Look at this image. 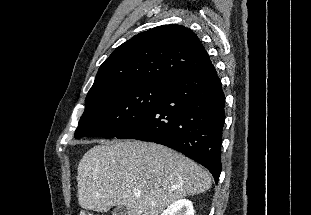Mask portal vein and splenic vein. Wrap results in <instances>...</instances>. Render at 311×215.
Returning <instances> with one entry per match:
<instances>
[{"instance_id":"obj_1","label":"portal vein and splenic vein","mask_w":311,"mask_h":215,"mask_svg":"<svg viewBox=\"0 0 311 215\" xmlns=\"http://www.w3.org/2000/svg\"><path fill=\"white\" fill-rule=\"evenodd\" d=\"M134 194H135L136 197L140 196V192H135Z\"/></svg>"}]
</instances>
